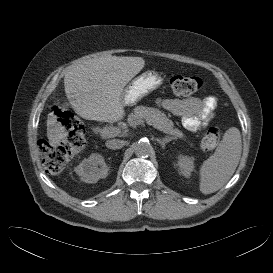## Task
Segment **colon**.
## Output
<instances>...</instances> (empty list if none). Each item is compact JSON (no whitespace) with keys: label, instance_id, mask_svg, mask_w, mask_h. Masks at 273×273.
I'll list each match as a JSON object with an SVG mask.
<instances>
[{"label":"colon","instance_id":"colon-1","mask_svg":"<svg viewBox=\"0 0 273 273\" xmlns=\"http://www.w3.org/2000/svg\"><path fill=\"white\" fill-rule=\"evenodd\" d=\"M170 89L175 96L186 97L199 92L204 84L196 76L174 75L171 77ZM54 113L60 118L68 137L61 144L54 146L42 142L39 145V152L44 167L50 173H60L68 161L77 153L83 150L86 142L85 129L83 124L61 106L54 108ZM223 136V130L217 126L210 127L201 140V147L210 151L214 149Z\"/></svg>","mask_w":273,"mask_h":273}]
</instances>
